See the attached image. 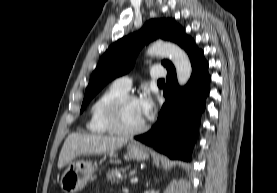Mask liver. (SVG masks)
<instances>
[{
  "mask_svg": "<svg viewBox=\"0 0 277 193\" xmlns=\"http://www.w3.org/2000/svg\"><path fill=\"white\" fill-rule=\"evenodd\" d=\"M126 143V138L72 133L67 137L61 149L58 169L69 165L78 156L110 153Z\"/></svg>",
  "mask_w": 277,
  "mask_h": 193,
  "instance_id": "6515ba94",
  "label": "liver"
}]
</instances>
